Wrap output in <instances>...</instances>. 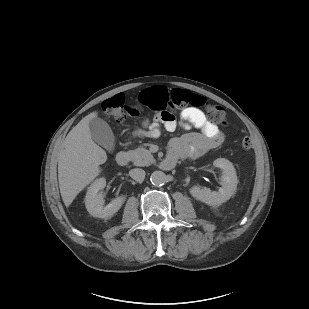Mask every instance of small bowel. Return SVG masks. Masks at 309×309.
I'll use <instances>...</instances> for the list:
<instances>
[{"instance_id": "obj_1", "label": "small bowel", "mask_w": 309, "mask_h": 309, "mask_svg": "<svg viewBox=\"0 0 309 309\" xmlns=\"http://www.w3.org/2000/svg\"><path fill=\"white\" fill-rule=\"evenodd\" d=\"M160 124L173 131L177 125L186 129L195 128L199 132L186 133L181 137L171 140L169 144V154L166 159L176 161L177 159H193L202 155L206 151L215 148L223 141V136L218 127L208 121L204 113L195 108H188L181 112L180 119L177 121L173 116L166 120H158L143 123L142 134L156 138L160 135Z\"/></svg>"}]
</instances>
